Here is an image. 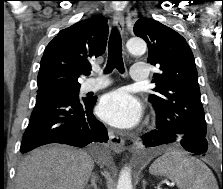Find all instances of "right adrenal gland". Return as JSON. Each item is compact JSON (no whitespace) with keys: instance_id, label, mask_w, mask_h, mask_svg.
Segmentation results:
<instances>
[{"instance_id":"right-adrenal-gland-1","label":"right adrenal gland","mask_w":223,"mask_h":189,"mask_svg":"<svg viewBox=\"0 0 223 189\" xmlns=\"http://www.w3.org/2000/svg\"><path fill=\"white\" fill-rule=\"evenodd\" d=\"M98 177L95 175V173H92L91 175V184L86 186L85 189H99L97 186Z\"/></svg>"}]
</instances>
